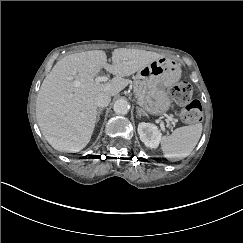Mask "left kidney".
<instances>
[{
	"mask_svg": "<svg viewBox=\"0 0 243 243\" xmlns=\"http://www.w3.org/2000/svg\"><path fill=\"white\" fill-rule=\"evenodd\" d=\"M138 133L140 139L147 147L156 148L161 139V134L157 131L156 127L149 123H141L138 126Z\"/></svg>",
	"mask_w": 243,
	"mask_h": 243,
	"instance_id": "obj_1",
	"label": "left kidney"
}]
</instances>
